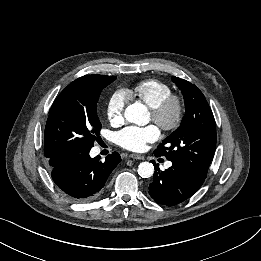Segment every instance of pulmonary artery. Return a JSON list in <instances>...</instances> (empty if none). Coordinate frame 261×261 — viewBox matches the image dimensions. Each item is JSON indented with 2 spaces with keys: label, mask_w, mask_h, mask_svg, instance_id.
<instances>
[{
  "label": "pulmonary artery",
  "mask_w": 261,
  "mask_h": 261,
  "mask_svg": "<svg viewBox=\"0 0 261 261\" xmlns=\"http://www.w3.org/2000/svg\"><path fill=\"white\" fill-rule=\"evenodd\" d=\"M170 166H171V163H168V164H167V167H170Z\"/></svg>",
  "instance_id": "1"
}]
</instances>
